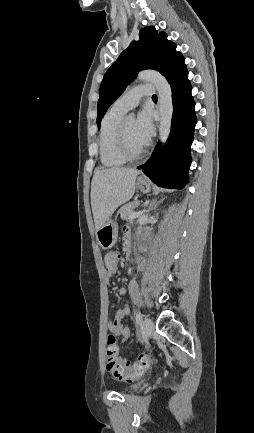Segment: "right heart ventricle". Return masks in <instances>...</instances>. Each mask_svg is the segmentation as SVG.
<instances>
[{
  "instance_id": "1",
  "label": "right heart ventricle",
  "mask_w": 254,
  "mask_h": 433,
  "mask_svg": "<svg viewBox=\"0 0 254 433\" xmlns=\"http://www.w3.org/2000/svg\"><path fill=\"white\" fill-rule=\"evenodd\" d=\"M124 113L110 109L103 117L99 133V155L103 166L116 168L127 160L120 154L117 145L118 127Z\"/></svg>"
}]
</instances>
